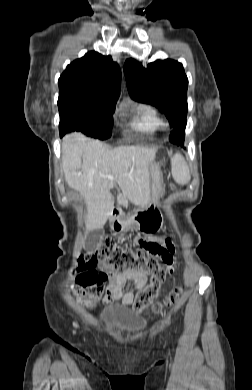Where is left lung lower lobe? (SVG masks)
I'll use <instances>...</instances> for the list:
<instances>
[{
    "label": "left lung lower lobe",
    "mask_w": 252,
    "mask_h": 390,
    "mask_svg": "<svg viewBox=\"0 0 252 390\" xmlns=\"http://www.w3.org/2000/svg\"><path fill=\"white\" fill-rule=\"evenodd\" d=\"M184 135H180L179 139L176 140V144L183 145Z\"/></svg>",
    "instance_id": "1"
}]
</instances>
